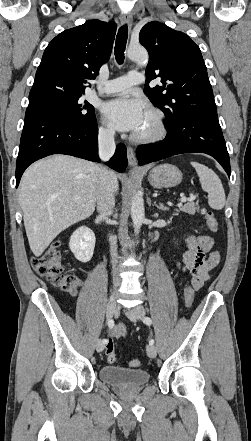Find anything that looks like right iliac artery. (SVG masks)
<instances>
[{"mask_svg":"<svg viewBox=\"0 0 251 441\" xmlns=\"http://www.w3.org/2000/svg\"><path fill=\"white\" fill-rule=\"evenodd\" d=\"M107 324H108V327H109L110 329H112V328L114 327V321H113V319H109ZM102 341H103L104 344L107 343V339H103Z\"/></svg>","mask_w":251,"mask_h":441,"instance_id":"82829eb1","label":"right iliac artery"}]
</instances>
